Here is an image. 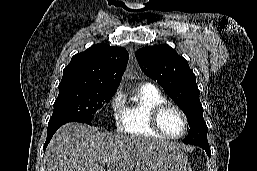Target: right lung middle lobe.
<instances>
[{
	"instance_id": "right-lung-middle-lobe-1",
	"label": "right lung middle lobe",
	"mask_w": 257,
	"mask_h": 171,
	"mask_svg": "<svg viewBox=\"0 0 257 171\" xmlns=\"http://www.w3.org/2000/svg\"><path fill=\"white\" fill-rule=\"evenodd\" d=\"M116 90L72 85L59 87L52 117L48 124L61 121L91 123L93 114L108 103Z\"/></svg>"
}]
</instances>
